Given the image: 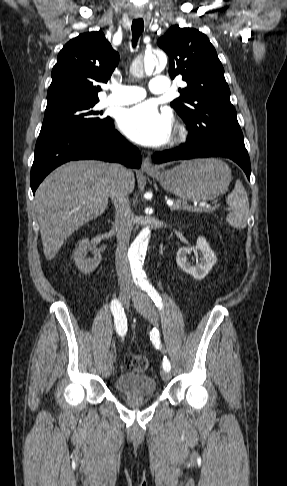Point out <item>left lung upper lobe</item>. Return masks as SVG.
I'll list each match as a JSON object with an SVG mask.
<instances>
[{
  "mask_svg": "<svg viewBox=\"0 0 287 486\" xmlns=\"http://www.w3.org/2000/svg\"><path fill=\"white\" fill-rule=\"evenodd\" d=\"M157 43L169 56L170 77L181 75L187 83L171 106L186 123L188 138L244 146L224 69L208 37L173 25Z\"/></svg>",
  "mask_w": 287,
  "mask_h": 486,
  "instance_id": "left-lung-upper-lobe-1",
  "label": "left lung upper lobe"
}]
</instances>
